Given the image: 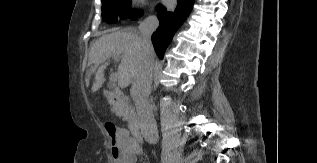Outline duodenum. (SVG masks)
Returning <instances> with one entry per match:
<instances>
[{"instance_id": "410a0bca", "label": "duodenum", "mask_w": 317, "mask_h": 163, "mask_svg": "<svg viewBox=\"0 0 317 163\" xmlns=\"http://www.w3.org/2000/svg\"><path fill=\"white\" fill-rule=\"evenodd\" d=\"M105 95L108 101L114 106H118L121 108L125 107L126 100L121 93L117 91L107 90L105 92ZM129 125H130V131L133 136V141L135 142L136 145L140 146V142L143 139V134H142V130H141L139 122L136 119H131L129 122Z\"/></svg>"}]
</instances>
